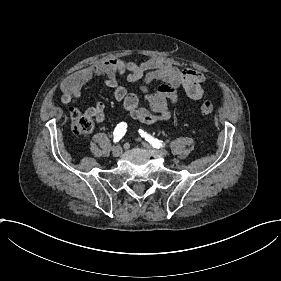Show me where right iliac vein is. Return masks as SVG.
Segmentation results:
<instances>
[{
    "label": "right iliac vein",
    "instance_id": "63e3f726",
    "mask_svg": "<svg viewBox=\"0 0 281 281\" xmlns=\"http://www.w3.org/2000/svg\"><path fill=\"white\" fill-rule=\"evenodd\" d=\"M113 154H114V156H116V157L121 156V154H122V149H121V147H119V146L114 147V149H113Z\"/></svg>",
    "mask_w": 281,
    "mask_h": 281
}]
</instances>
